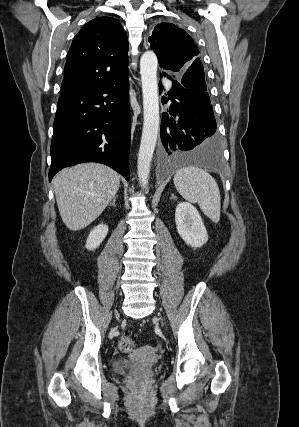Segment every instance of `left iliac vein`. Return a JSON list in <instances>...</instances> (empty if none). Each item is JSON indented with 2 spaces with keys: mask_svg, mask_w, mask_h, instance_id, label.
<instances>
[{
  "mask_svg": "<svg viewBox=\"0 0 299 427\" xmlns=\"http://www.w3.org/2000/svg\"><path fill=\"white\" fill-rule=\"evenodd\" d=\"M160 320H161V323H162V325H164V323H163V319L160 317Z\"/></svg>",
  "mask_w": 299,
  "mask_h": 427,
  "instance_id": "1",
  "label": "left iliac vein"
}]
</instances>
